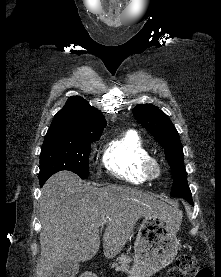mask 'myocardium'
<instances>
[{
  "label": "myocardium",
  "mask_w": 221,
  "mask_h": 277,
  "mask_svg": "<svg viewBox=\"0 0 221 277\" xmlns=\"http://www.w3.org/2000/svg\"><path fill=\"white\" fill-rule=\"evenodd\" d=\"M143 171L148 179H156L162 173V164L157 158L149 156L143 162Z\"/></svg>",
  "instance_id": "myocardium-1"
}]
</instances>
